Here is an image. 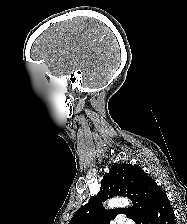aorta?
<instances>
[{"mask_svg": "<svg viewBox=\"0 0 187 224\" xmlns=\"http://www.w3.org/2000/svg\"><path fill=\"white\" fill-rule=\"evenodd\" d=\"M131 205L128 198H112L107 201V208H116V207H128Z\"/></svg>", "mask_w": 187, "mask_h": 224, "instance_id": "aorta-1", "label": "aorta"}]
</instances>
